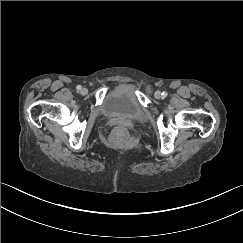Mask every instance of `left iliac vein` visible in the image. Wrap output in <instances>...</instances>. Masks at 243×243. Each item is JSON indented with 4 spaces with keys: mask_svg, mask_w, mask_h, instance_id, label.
<instances>
[{
    "mask_svg": "<svg viewBox=\"0 0 243 243\" xmlns=\"http://www.w3.org/2000/svg\"><path fill=\"white\" fill-rule=\"evenodd\" d=\"M154 96L156 99H160L162 97V93L160 91H156Z\"/></svg>",
    "mask_w": 243,
    "mask_h": 243,
    "instance_id": "4c4485c4",
    "label": "left iliac vein"
}]
</instances>
